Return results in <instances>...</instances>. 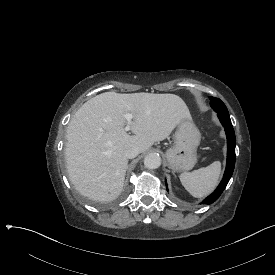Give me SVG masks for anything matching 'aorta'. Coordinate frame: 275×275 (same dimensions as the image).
Masks as SVG:
<instances>
[{"label":"aorta","instance_id":"aorta-1","mask_svg":"<svg viewBox=\"0 0 275 275\" xmlns=\"http://www.w3.org/2000/svg\"><path fill=\"white\" fill-rule=\"evenodd\" d=\"M144 164L149 169H156L161 165V157L157 153H150L145 157Z\"/></svg>","mask_w":275,"mask_h":275}]
</instances>
